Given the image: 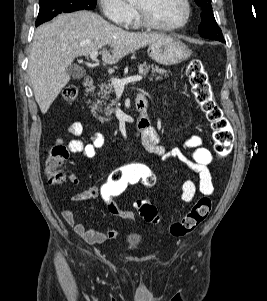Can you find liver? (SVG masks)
Here are the masks:
<instances>
[{
    "label": "liver",
    "instance_id": "obj_1",
    "mask_svg": "<svg viewBox=\"0 0 267 301\" xmlns=\"http://www.w3.org/2000/svg\"><path fill=\"white\" fill-rule=\"evenodd\" d=\"M163 37L125 31L90 11L60 14L38 27L30 48L28 74L41 112L48 111L68 84L67 68L76 57L102 50L103 63L112 65ZM106 45L113 47L112 53L105 49Z\"/></svg>",
    "mask_w": 267,
    "mask_h": 301
}]
</instances>
